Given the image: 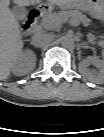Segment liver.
<instances>
[{"mask_svg": "<svg viewBox=\"0 0 104 137\" xmlns=\"http://www.w3.org/2000/svg\"><path fill=\"white\" fill-rule=\"evenodd\" d=\"M1 0L0 11V79L6 80L10 76V70L20 56L23 41L19 29V23L8 8V1L5 4ZM53 5L60 7H68L71 4L80 2L81 0H47ZM17 6L37 5L41 0H13Z\"/></svg>", "mask_w": 104, "mask_h": 137, "instance_id": "liver-1", "label": "liver"}]
</instances>
